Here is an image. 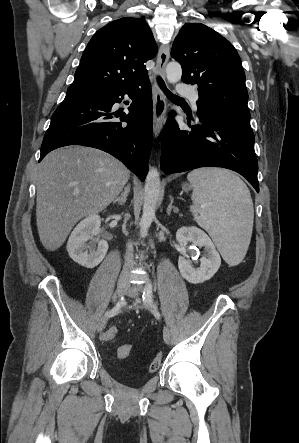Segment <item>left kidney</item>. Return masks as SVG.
Returning <instances> with one entry per match:
<instances>
[{
	"label": "left kidney",
	"mask_w": 299,
	"mask_h": 443,
	"mask_svg": "<svg viewBox=\"0 0 299 443\" xmlns=\"http://www.w3.org/2000/svg\"><path fill=\"white\" fill-rule=\"evenodd\" d=\"M176 239L179 243L192 242L197 247H204L206 251L198 268L185 257H179L178 267L182 277L193 284L203 283L212 278L221 265V258L209 236L199 228L182 227L177 230Z\"/></svg>",
	"instance_id": "obj_1"
}]
</instances>
